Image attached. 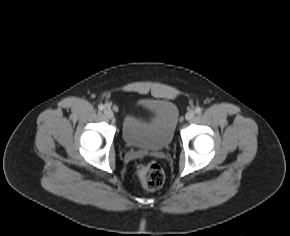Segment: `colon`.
Returning <instances> with one entry per match:
<instances>
[{
  "label": "colon",
  "instance_id": "colon-1",
  "mask_svg": "<svg viewBox=\"0 0 290 236\" xmlns=\"http://www.w3.org/2000/svg\"><path fill=\"white\" fill-rule=\"evenodd\" d=\"M141 184L148 190L159 189L165 180L162 168L156 163L141 165L137 170Z\"/></svg>",
  "mask_w": 290,
  "mask_h": 236
}]
</instances>
